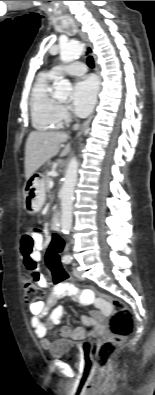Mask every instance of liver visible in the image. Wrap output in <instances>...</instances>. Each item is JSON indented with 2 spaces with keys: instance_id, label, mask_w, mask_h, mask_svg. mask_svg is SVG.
<instances>
[{
  "instance_id": "liver-1",
  "label": "liver",
  "mask_w": 155,
  "mask_h": 395,
  "mask_svg": "<svg viewBox=\"0 0 155 395\" xmlns=\"http://www.w3.org/2000/svg\"><path fill=\"white\" fill-rule=\"evenodd\" d=\"M65 132L33 131L29 134L25 146V178L28 180L49 159L60 151V145L68 140ZM70 144L64 146L60 156H66Z\"/></svg>"
}]
</instances>
